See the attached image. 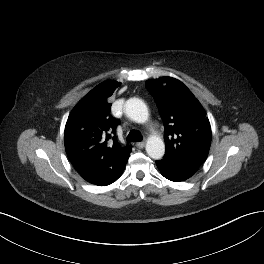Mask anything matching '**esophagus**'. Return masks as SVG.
I'll list each match as a JSON object with an SVG mask.
<instances>
[{"mask_svg":"<svg viewBox=\"0 0 264 264\" xmlns=\"http://www.w3.org/2000/svg\"><path fill=\"white\" fill-rule=\"evenodd\" d=\"M144 146H145V142L144 141L136 143V147L139 148V149H142Z\"/></svg>","mask_w":264,"mask_h":264,"instance_id":"obj_1","label":"esophagus"}]
</instances>
